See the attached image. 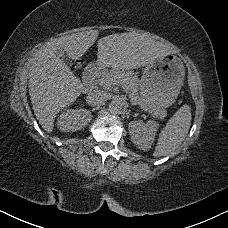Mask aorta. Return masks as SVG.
Wrapping results in <instances>:
<instances>
[{
  "mask_svg": "<svg viewBox=\"0 0 228 228\" xmlns=\"http://www.w3.org/2000/svg\"><path fill=\"white\" fill-rule=\"evenodd\" d=\"M109 111L112 114H118L122 111V104L118 101H112L109 104Z\"/></svg>",
  "mask_w": 228,
  "mask_h": 228,
  "instance_id": "obj_1",
  "label": "aorta"
}]
</instances>
